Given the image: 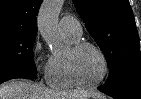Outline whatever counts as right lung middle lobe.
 Segmentation results:
<instances>
[{
    "instance_id": "right-lung-middle-lobe-1",
    "label": "right lung middle lobe",
    "mask_w": 141,
    "mask_h": 99,
    "mask_svg": "<svg viewBox=\"0 0 141 99\" xmlns=\"http://www.w3.org/2000/svg\"><path fill=\"white\" fill-rule=\"evenodd\" d=\"M36 33L20 29L0 30V75L12 72L37 74L32 54Z\"/></svg>"
}]
</instances>
